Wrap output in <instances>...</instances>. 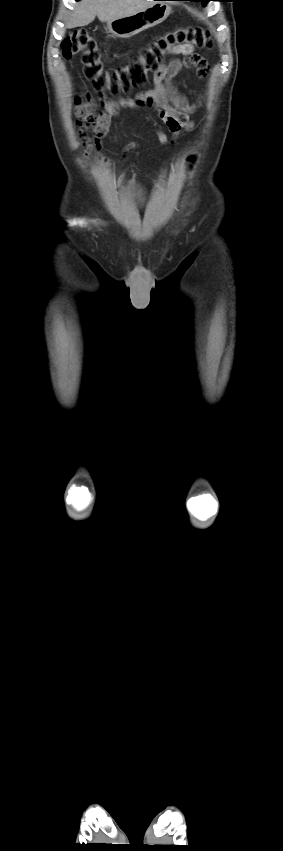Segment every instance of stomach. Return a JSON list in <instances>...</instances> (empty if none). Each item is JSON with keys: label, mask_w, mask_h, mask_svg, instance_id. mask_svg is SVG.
I'll return each mask as SVG.
<instances>
[{"label": "stomach", "mask_w": 283, "mask_h": 851, "mask_svg": "<svg viewBox=\"0 0 283 851\" xmlns=\"http://www.w3.org/2000/svg\"><path fill=\"white\" fill-rule=\"evenodd\" d=\"M171 13L166 2L156 1L137 13L107 23L109 32L118 38H130L148 28L162 23Z\"/></svg>", "instance_id": "0dacf381"}]
</instances>
